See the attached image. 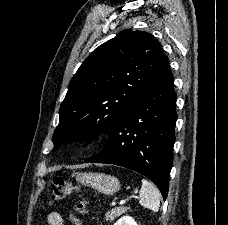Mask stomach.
<instances>
[{
  "label": "stomach",
  "instance_id": "1",
  "mask_svg": "<svg viewBox=\"0 0 228 225\" xmlns=\"http://www.w3.org/2000/svg\"><path fill=\"white\" fill-rule=\"evenodd\" d=\"M76 181L84 187H92L104 195H114L121 189V185L116 177L104 175V173H77Z\"/></svg>",
  "mask_w": 228,
  "mask_h": 225
}]
</instances>
